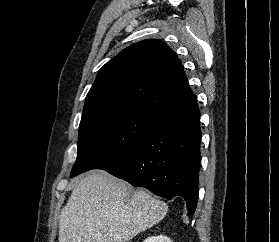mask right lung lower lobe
<instances>
[{
	"label": "right lung lower lobe",
	"instance_id": "right-lung-lower-lobe-1",
	"mask_svg": "<svg viewBox=\"0 0 279 242\" xmlns=\"http://www.w3.org/2000/svg\"><path fill=\"white\" fill-rule=\"evenodd\" d=\"M200 111L197 100L162 111L154 130L100 169L171 199L181 196L195 212L200 171Z\"/></svg>",
	"mask_w": 279,
	"mask_h": 242
}]
</instances>
